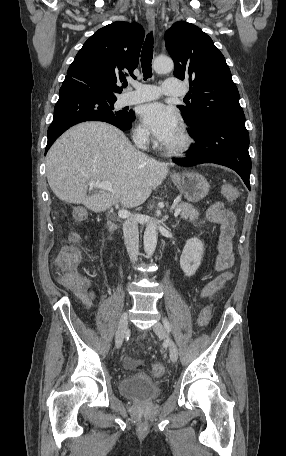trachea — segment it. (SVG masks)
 <instances>
[{"mask_svg": "<svg viewBox=\"0 0 286 456\" xmlns=\"http://www.w3.org/2000/svg\"><path fill=\"white\" fill-rule=\"evenodd\" d=\"M153 58V34L152 32L148 33L143 49L141 52V66L144 75V79L152 77V67L151 62ZM127 83L124 84V87H127Z\"/></svg>", "mask_w": 286, "mask_h": 456, "instance_id": "3493384b", "label": "trachea"}]
</instances>
